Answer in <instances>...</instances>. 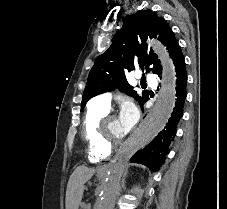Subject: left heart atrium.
Wrapping results in <instances>:
<instances>
[{
    "label": "left heart atrium",
    "mask_w": 227,
    "mask_h": 209,
    "mask_svg": "<svg viewBox=\"0 0 227 209\" xmlns=\"http://www.w3.org/2000/svg\"><path fill=\"white\" fill-rule=\"evenodd\" d=\"M138 118V108L131 101H124L121 105V111L118 117L123 128L126 131H130L136 125Z\"/></svg>",
    "instance_id": "1"
}]
</instances>
